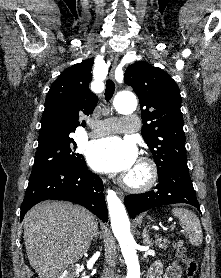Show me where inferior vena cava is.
I'll use <instances>...</instances> for the list:
<instances>
[{
	"instance_id": "obj_1",
	"label": "inferior vena cava",
	"mask_w": 221,
	"mask_h": 278,
	"mask_svg": "<svg viewBox=\"0 0 221 278\" xmlns=\"http://www.w3.org/2000/svg\"><path fill=\"white\" fill-rule=\"evenodd\" d=\"M102 278H116L115 274L112 270L106 268L103 271V277Z\"/></svg>"
}]
</instances>
